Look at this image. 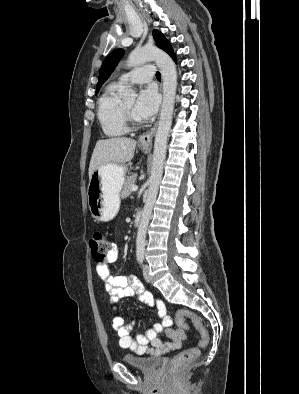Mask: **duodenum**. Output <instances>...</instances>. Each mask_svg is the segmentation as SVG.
Returning a JSON list of instances; mask_svg holds the SVG:
<instances>
[{"mask_svg": "<svg viewBox=\"0 0 299 394\" xmlns=\"http://www.w3.org/2000/svg\"><path fill=\"white\" fill-rule=\"evenodd\" d=\"M141 220H142V213L141 212H137L136 215H135V220H134L135 224L137 226L140 225Z\"/></svg>", "mask_w": 299, "mask_h": 394, "instance_id": "1", "label": "duodenum"}]
</instances>
